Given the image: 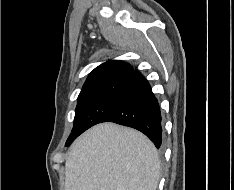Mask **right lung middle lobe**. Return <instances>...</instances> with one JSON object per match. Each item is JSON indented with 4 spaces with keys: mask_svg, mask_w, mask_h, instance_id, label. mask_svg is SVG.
I'll return each mask as SVG.
<instances>
[{
    "mask_svg": "<svg viewBox=\"0 0 234 190\" xmlns=\"http://www.w3.org/2000/svg\"><path fill=\"white\" fill-rule=\"evenodd\" d=\"M124 85L125 79H119L81 90L75 111L74 126L67 142L99 123L115 103Z\"/></svg>",
    "mask_w": 234,
    "mask_h": 190,
    "instance_id": "1",
    "label": "right lung middle lobe"
}]
</instances>
